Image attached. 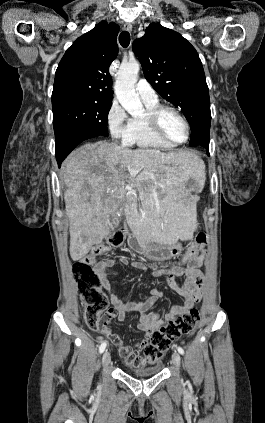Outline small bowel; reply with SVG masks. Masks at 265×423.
Wrapping results in <instances>:
<instances>
[{
    "instance_id": "1",
    "label": "small bowel",
    "mask_w": 265,
    "mask_h": 423,
    "mask_svg": "<svg viewBox=\"0 0 265 423\" xmlns=\"http://www.w3.org/2000/svg\"><path fill=\"white\" fill-rule=\"evenodd\" d=\"M204 258L205 256L202 251L191 262H187L185 266L175 265L173 267H162L153 270L154 276H165L170 289L183 298L182 304L173 306L163 316L157 312L149 311L155 302L163 297V292L158 289H152L150 291V297L139 303L126 302L111 293L107 270L116 265L115 259H108L97 263L95 271L101 280L103 288L108 293L109 301L112 304L113 317L120 323H126L128 314H138L139 321L136 328L146 336H149L164 324L190 311L195 303L200 301L204 291V273L201 269L205 262ZM118 262L122 265L129 264L128 259L125 257H121ZM130 264L137 270L147 269L146 265L142 262L133 261ZM177 280H181L182 284L180 285ZM106 336L119 348V353L125 359L127 365L135 366L137 363L144 361L141 352L143 351V345L147 343L146 340L129 345L124 338L116 334L112 333L111 336Z\"/></svg>"
}]
</instances>
